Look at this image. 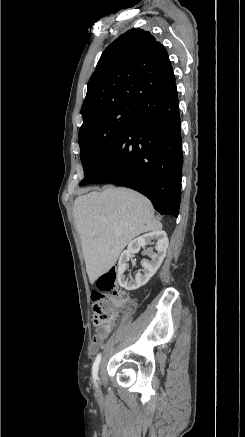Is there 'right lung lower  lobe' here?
<instances>
[{
	"instance_id": "1",
	"label": "right lung lower lobe",
	"mask_w": 245,
	"mask_h": 437,
	"mask_svg": "<svg viewBox=\"0 0 245 437\" xmlns=\"http://www.w3.org/2000/svg\"><path fill=\"white\" fill-rule=\"evenodd\" d=\"M183 153L177 89L136 105L112 152L83 183H112L149 198L162 215L179 214Z\"/></svg>"
}]
</instances>
